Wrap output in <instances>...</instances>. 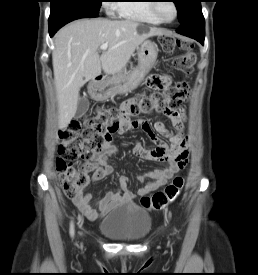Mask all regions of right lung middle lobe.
Returning a JSON list of instances; mask_svg holds the SVG:
<instances>
[{
  "label": "right lung middle lobe",
  "instance_id": "right-lung-middle-lobe-1",
  "mask_svg": "<svg viewBox=\"0 0 258 275\" xmlns=\"http://www.w3.org/2000/svg\"><path fill=\"white\" fill-rule=\"evenodd\" d=\"M103 0H51L50 14L63 11H84L98 14Z\"/></svg>",
  "mask_w": 258,
  "mask_h": 275
}]
</instances>
